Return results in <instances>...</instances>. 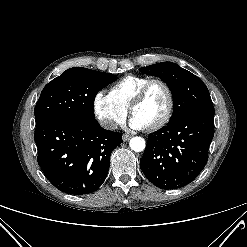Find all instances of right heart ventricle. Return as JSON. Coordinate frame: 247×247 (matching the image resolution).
<instances>
[{"mask_svg":"<svg viewBox=\"0 0 247 247\" xmlns=\"http://www.w3.org/2000/svg\"><path fill=\"white\" fill-rule=\"evenodd\" d=\"M149 80L150 78L146 76H125L111 87L110 95L117 103L128 109L134 96Z\"/></svg>","mask_w":247,"mask_h":247,"instance_id":"1","label":"right heart ventricle"}]
</instances>
